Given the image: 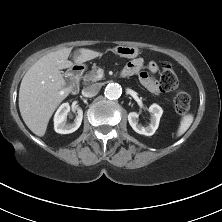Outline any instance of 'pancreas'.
Segmentation results:
<instances>
[{"label":"pancreas","instance_id":"obj_1","mask_svg":"<svg viewBox=\"0 0 222 222\" xmlns=\"http://www.w3.org/2000/svg\"><path fill=\"white\" fill-rule=\"evenodd\" d=\"M98 67L94 66L91 71L86 73L83 77L85 83L97 82L101 80V77L97 74Z\"/></svg>","mask_w":222,"mask_h":222}]
</instances>
